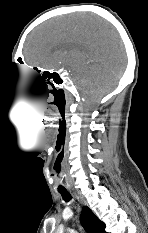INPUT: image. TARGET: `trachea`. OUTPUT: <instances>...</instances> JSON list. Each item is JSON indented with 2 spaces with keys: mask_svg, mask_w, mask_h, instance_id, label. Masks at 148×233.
<instances>
[{
  "mask_svg": "<svg viewBox=\"0 0 148 233\" xmlns=\"http://www.w3.org/2000/svg\"><path fill=\"white\" fill-rule=\"evenodd\" d=\"M59 193L62 195L63 199L66 202H68L71 199V196L67 191H59Z\"/></svg>",
  "mask_w": 148,
  "mask_h": 233,
  "instance_id": "obj_1",
  "label": "trachea"
}]
</instances>
